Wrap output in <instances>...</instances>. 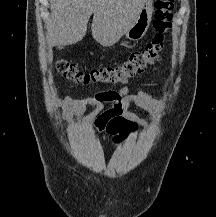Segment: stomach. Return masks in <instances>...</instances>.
I'll return each mask as SVG.
<instances>
[{"mask_svg":"<svg viewBox=\"0 0 216 217\" xmlns=\"http://www.w3.org/2000/svg\"><path fill=\"white\" fill-rule=\"evenodd\" d=\"M153 0H145L137 17L123 35L129 40L138 41L143 38L152 20Z\"/></svg>","mask_w":216,"mask_h":217,"instance_id":"1","label":"stomach"}]
</instances>
